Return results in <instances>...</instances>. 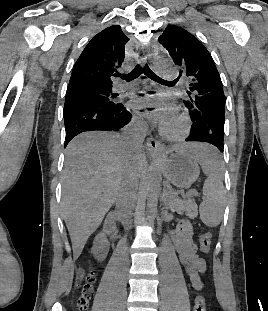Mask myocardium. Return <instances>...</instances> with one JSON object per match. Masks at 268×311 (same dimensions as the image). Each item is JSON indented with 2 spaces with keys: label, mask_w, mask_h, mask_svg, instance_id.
<instances>
[{
  "label": "myocardium",
  "mask_w": 268,
  "mask_h": 311,
  "mask_svg": "<svg viewBox=\"0 0 268 311\" xmlns=\"http://www.w3.org/2000/svg\"><path fill=\"white\" fill-rule=\"evenodd\" d=\"M175 121L178 124V129L176 131H170L165 125H161L159 132L162 137L172 142L183 141L189 131H190V122L186 114H178L175 117Z\"/></svg>",
  "instance_id": "myocardium-1"
}]
</instances>
